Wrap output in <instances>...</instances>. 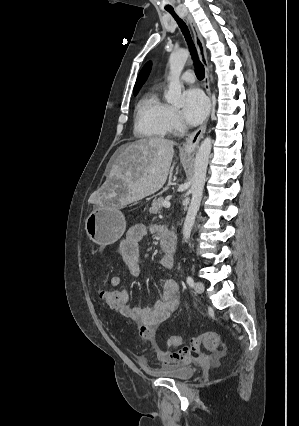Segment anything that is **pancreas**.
Wrapping results in <instances>:
<instances>
[{
    "instance_id": "1",
    "label": "pancreas",
    "mask_w": 299,
    "mask_h": 426,
    "mask_svg": "<svg viewBox=\"0 0 299 426\" xmlns=\"http://www.w3.org/2000/svg\"><path fill=\"white\" fill-rule=\"evenodd\" d=\"M166 201L164 198H159L158 200L154 201L152 203L151 208L149 209V212L152 214L160 213L161 208L163 206V203Z\"/></svg>"
}]
</instances>
